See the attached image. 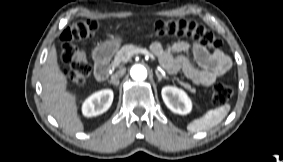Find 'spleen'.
I'll return each mask as SVG.
<instances>
[{"mask_svg":"<svg viewBox=\"0 0 283 162\" xmlns=\"http://www.w3.org/2000/svg\"><path fill=\"white\" fill-rule=\"evenodd\" d=\"M229 111V104H225L216 109L209 110L202 117L191 121L187 125V129L190 132L209 130L210 128L218 125L227 116Z\"/></svg>","mask_w":283,"mask_h":162,"instance_id":"1","label":"spleen"}]
</instances>
